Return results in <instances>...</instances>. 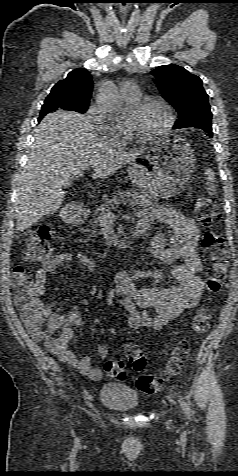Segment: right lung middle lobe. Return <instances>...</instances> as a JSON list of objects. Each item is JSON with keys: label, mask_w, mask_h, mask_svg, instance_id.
Instances as JSON below:
<instances>
[{"label": "right lung middle lobe", "mask_w": 238, "mask_h": 476, "mask_svg": "<svg viewBox=\"0 0 238 476\" xmlns=\"http://www.w3.org/2000/svg\"><path fill=\"white\" fill-rule=\"evenodd\" d=\"M68 101L59 94H54L53 96L47 97L44 104L42 105L41 113L39 119L48 114L49 112H54L56 110H68L75 111L79 113H85L88 109L87 105H76V104H67Z\"/></svg>", "instance_id": "1"}]
</instances>
